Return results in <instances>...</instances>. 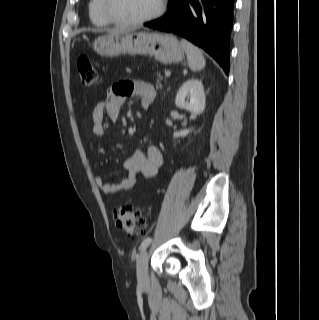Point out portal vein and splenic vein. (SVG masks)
<instances>
[{
  "label": "portal vein and splenic vein",
  "mask_w": 319,
  "mask_h": 320,
  "mask_svg": "<svg viewBox=\"0 0 319 320\" xmlns=\"http://www.w3.org/2000/svg\"><path fill=\"white\" fill-rule=\"evenodd\" d=\"M165 75L169 77L171 75V72L169 70H167V71H165Z\"/></svg>",
  "instance_id": "obj_1"
}]
</instances>
